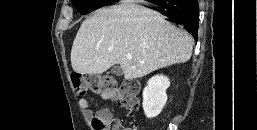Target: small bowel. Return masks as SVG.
I'll list each match as a JSON object with an SVG mask.
<instances>
[{"mask_svg": "<svg viewBox=\"0 0 257 130\" xmlns=\"http://www.w3.org/2000/svg\"><path fill=\"white\" fill-rule=\"evenodd\" d=\"M104 98H109L107 96H103ZM79 105L82 109L85 110L86 116L91 117L92 116V110L89 108V102L86 98H80ZM97 115H100L104 118H111V112L108 109L101 110L97 113Z\"/></svg>", "mask_w": 257, "mask_h": 130, "instance_id": "obj_1", "label": "small bowel"}]
</instances>
